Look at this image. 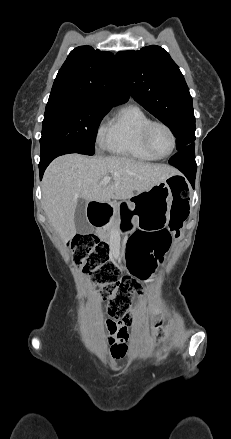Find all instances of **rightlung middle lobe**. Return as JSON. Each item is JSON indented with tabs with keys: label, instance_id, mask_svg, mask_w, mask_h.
I'll use <instances>...</instances> for the list:
<instances>
[{
	"label": "right lung middle lobe",
	"instance_id": "dd1d6c3e",
	"mask_svg": "<svg viewBox=\"0 0 231 439\" xmlns=\"http://www.w3.org/2000/svg\"><path fill=\"white\" fill-rule=\"evenodd\" d=\"M111 108L87 102L46 106L40 158L52 157L62 150L93 155L98 126Z\"/></svg>",
	"mask_w": 231,
	"mask_h": 439
}]
</instances>
